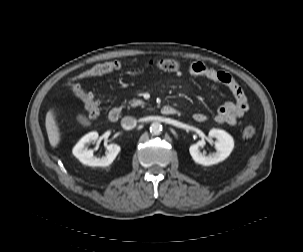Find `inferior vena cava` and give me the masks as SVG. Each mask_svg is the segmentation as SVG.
<instances>
[{"mask_svg":"<svg viewBox=\"0 0 303 252\" xmlns=\"http://www.w3.org/2000/svg\"><path fill=\"white\" fill-rule=\"evenodd\" d=\"M136 124H137V120L131 116H126L121 120V125L126 130L133 129L136 126Z\"/></svg>","mask_w":303,"mask_h":252,"instance_id":"inferior-vena-cava-1","label":"inferior vena cava"}]
</instances>
